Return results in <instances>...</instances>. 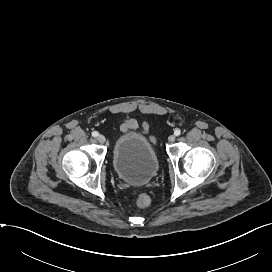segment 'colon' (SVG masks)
<instances>
[{
	"label": "colon",
	"mask_w": 272,
	"mask_h": 272,
	"mask_svg": "<svg viewBox=\"0 0 272 272\" xmlns=\"http://www.w3.org/2000/svg\"><path fill=\"white\" fill-rule=\"evenodd\" d=\"M150 202H151L150 197L145 193H141L140 195H138L136 199L137 205L141 208L149 206Z\"/></svg>",
	"instance_id": "colon-1"
}]
</instances>
